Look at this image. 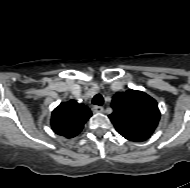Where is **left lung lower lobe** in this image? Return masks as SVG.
Instances as JSON below:
<instances>
[{"label": "left lung lower lobe", "mask_w": 190, "mask_h": 188, "mask_svg": "<svg viewBox=\"0 0 190 188\" xmlns=\"http://www.w3.org/2000/svg\"><path fill=\"white\" fill-rule=\"evenodd\" d=\"M117 131H118V133H120L127 140L135 141V142L145 141L150 137V136H147V135L137 134V133H133V132H130V131H121V130H117Z\"/></svg>", "instance_id": "obj_1"}]
</instances>
